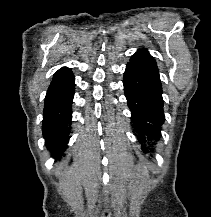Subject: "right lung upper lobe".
Returning a JSON list of instances; mask_svg holds the SVG:
<instances>
[{
  "label": "right lung upper lobe",
  "instance_id": "right-lung-upper-lobe-1",
  "mask_svg": "<svg viewBox=\"0 0 211 217\" xmlns=\"http://www.w3.org/2000/svg\"><path fill=\"white\" fill-rule=\"evenodd\" d=\"M71 76H72V72H71L70 68L63 67L55 73L53 80H52V83L64 81Z\"/></svg>",
  "mask_w": 211,
  "mask_h": 217
}]
</instances>
